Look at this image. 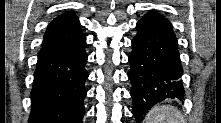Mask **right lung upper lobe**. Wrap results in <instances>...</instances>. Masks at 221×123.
<instances>
[{"label":"right lung upper lobe","mask_w":221,"mask_h":123,"mask_svg":"<svg viewBox=\"0 0 221 123\" xmlns=\"http://www.w3.org/2000/svg\"><path fill=\"white\" fill-rule=\"evenodd\" d=\"M81 32L78 17L72 12H66L55 18L47 27L44 35V44L73 37Z\"/></svg>","instance_id":"obj_1"}]
</instances>
